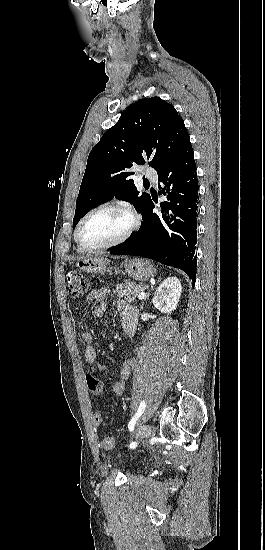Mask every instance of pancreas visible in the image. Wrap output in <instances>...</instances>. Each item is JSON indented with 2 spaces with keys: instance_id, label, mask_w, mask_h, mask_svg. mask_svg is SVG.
Returning a JSON list of instances; mask_svg holds the SVG:
<instances>
[{
  "instance_id": "cf45deb5",
  "label": "pancreas",
  "mask_w": 265,
  "mask_h": 550,
  "mask_svg": "<svg viewBox=\"0 0 265 550\" xmlns=\"http://www.w3.org/2000/svg\"><path fill=\"white\" fill-rule=\"evenodd\" d=\"M147 286L145 284H136L129 281H124L117 285L114 292L118 293L119 298H125L128 302L136 301L139 293L143 292Z\"/></svg>"
}]
</instances>
